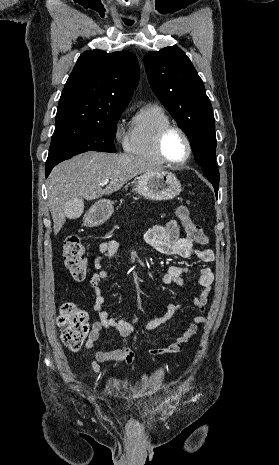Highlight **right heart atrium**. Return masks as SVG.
I'll list each match as a JSON object with an SVG mask.
<instances>
[{
    "label": "right heart atrium",
    "instance_id": "d8ad5b80",
    "mask_svg": "<svg viewBox=\"0 0 279 465\" xmlns=\"http://www.w3.org/2000/svg\"><path fill=\"white\" fill-rule=\"evenodd\" d=\"M114 134L117 140L122 141L123 143L125 142L126 134L124 130L122 129L121 124L119 122L115 126Z\"/></svg>",
    "mask_w": 279,
    "mask_h": 465
}]
</instances>
